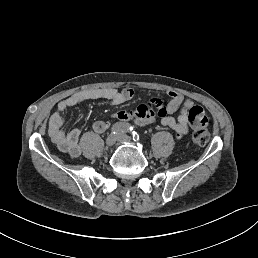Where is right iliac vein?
<instances>
[{
	"label": "right iliac vein",
	"instance_id": "obj_1",
	"mask_svg": "<svg viewBox=\"0 0 258 258\" xmlns=\"http://www.w3.org/2000/svg\"><path fill=\"white\" fill-rule=\"evenodd\" d=\"M116 141H117V137L114 134H110L106 138V144L108 146H113L116 143Z\"/></svg>",
	"mask_w": 258,
	"mask_h": 258
}]
</instances>
